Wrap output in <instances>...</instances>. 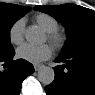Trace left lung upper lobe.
Segmentation results:
<instances>
[{"instance_id":"1","label":"left lung upper lobe","mask_w":95,"mask_h":95,"mask_svg":"<svg viewBox=\"0 0 95 95\" xmlns=\"http://www.w3.org/2000/svg\"><path fill=\"white\" fill-rule=\"evenodd\" d=\"M61 21L68 39L61 55L71 56L83 51H95V12L75 4L35 6Z\"/></svg>"}]
</instances>
